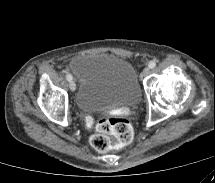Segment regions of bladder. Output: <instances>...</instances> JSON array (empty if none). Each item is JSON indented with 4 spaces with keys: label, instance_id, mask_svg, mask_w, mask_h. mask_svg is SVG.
Listing matches in <instances>:
<instances>
[{
    "label": "bladder",
    "instance_id": "obj_1",
    "mask_svg": "<svg viewBox=\"0 0 215 183\" xmlns=\"http://www.w3.org/2000/svg\"><path fill=\"white\" fill-rule=\"evenodd\" d=\"M71 69L80 79L75 97L79 110L101 111L139 103L137 74L128 60L102 53L83 54L72 60Z\"/></svg>",
    "mask_w": 215,
    "mask_h": 183
}]
</instances>
